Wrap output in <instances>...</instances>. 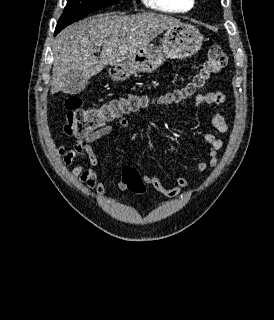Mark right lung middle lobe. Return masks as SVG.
<instances>
[{"instance_id": "1", "label": "right lung middle lobe", "mask_w": 274, "mask_h": 320, "mask_svg": "<svg viewBox=\"0 0 274 320\" xmlns=\"http://www.w3.org/2000/svg\"><path fill=\"white\" fill-rule=\"evenodd\" d=\"M120 0H67V5L59 18L56 31L60 32L66 26L76 22L92 12L105 5L115 4Z\"/></svg>"}]
</instances>
